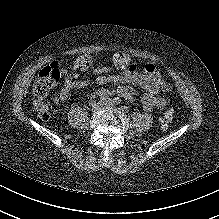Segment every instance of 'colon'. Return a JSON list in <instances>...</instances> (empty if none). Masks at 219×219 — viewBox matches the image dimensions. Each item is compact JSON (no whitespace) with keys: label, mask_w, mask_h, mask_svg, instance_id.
Listing matches in <instances>:
<instances>
[{"label":"colon","mask_w":219,"mask_h":219,"mask_svg":"<svg viewBox=\"0 0 219 219\" xmlns=\"http://www.w3.org/2000/svg\"><path fill=\"white\" fill-rule=\"evenodd\" d=\"M60 71L58 64L53 62L44 67L32 84V96L34 107L38 114L44 118L49 119L53 114V108L48 102V95L50 91L57 85L60 80ZM175 111L173 102H168V110L161 120V128L166 129L174 120Z\"/></svg>","instance_id":"1"}]
</instances>
